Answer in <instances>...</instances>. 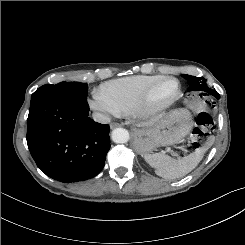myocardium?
Wrapping results in <instances>:
<instances>
[{"label": "myocardium", "instance_id": "myocardium-1", "mask_svg": "<svg viewBox=\"0 0 245 245\" xmlns=\"http://www.w3.org/2000/svg\"><path fill=\"white\" fill-rule=\"evenodd\" d=\"M168 82H175L176 88L167 97L161 98L160 91ZM181 91V84L174 77H164L151 87H149L136 104L133 115L140 118H146L162 113L176 100Z\"/></svg>", "mask_w": 245, "mask_h": 245}]
</instances>
